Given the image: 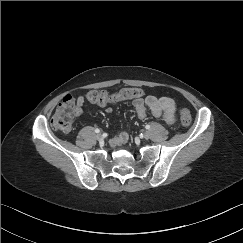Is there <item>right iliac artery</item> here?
Segmentation results:
<instances>
[{
  "instance_id": "right-iliac-artery-1",
  "label": "right iliac artery",
  "mask_w": 243,
  "mask_h": 243,
  "mask_svg": "<svg viewBox=\"0 0 243 243\" xmlns=\"http://www.w3.org/2000/svg\"><path fill=\"white\" fill-rule=\"evenodd\" d=\"M100 132V130L99 129H95V133H99Z\"/></svg>"
}]
</instances>
